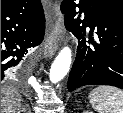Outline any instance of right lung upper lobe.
<instances>
[{"label":"right lung upper lobe","instance_id":"cb5924a9","mask_svg":"<svg viewBox=\"0 0 123 113\" xmlns=\"http://www.w3.org/2000/svg\"><path fill=\"white\" fill-rule=\"evenodd\" d=\"M14 0H1V7L6 6L13 2Z\"/></svg>","mask_w":123,"mask_h":113}]
</instances>
